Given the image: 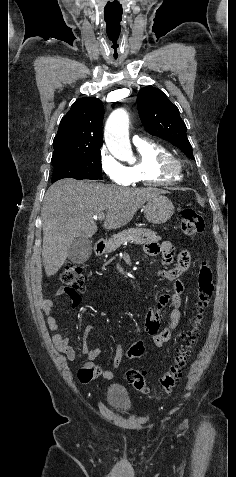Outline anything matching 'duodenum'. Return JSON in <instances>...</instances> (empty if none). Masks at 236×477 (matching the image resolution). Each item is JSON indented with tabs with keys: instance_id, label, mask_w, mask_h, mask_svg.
Returning a JSON list of instances; mask_svg holds the SVG:
<instances>
[{
	"instance_id": "410a0bca",
	"label": "duodenum",
	"mask_w": 236,
	"mask_h": 477,
	"mask_svg": "<svg viewBox=\"0 0 236 477\" xmlns=\"http://www.w3.org/2000/svg\"><path fill=\"white\" fill-rule=\"evenodd\" d=\"M106 247V241L104 240H100L98 241L95 246H94V250L97 254H100L103 252V250L105 249Z\"/></svg>"
}]
</instances>
